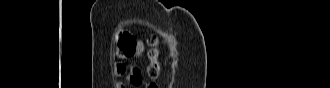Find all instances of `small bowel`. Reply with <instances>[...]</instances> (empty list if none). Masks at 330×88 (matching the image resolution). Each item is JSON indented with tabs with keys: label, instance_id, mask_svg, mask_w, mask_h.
Returning <instances> with one entry per match:
<instances>
[{
	"label": "small bowel",
	"instance_id": "c3829d8e",
	"mask_svg": "<svg viewBox=\"0 0 330 88\" xmlns=\"http://www.w3.org/2000/svg\"><path fill=\"white\" fill-rule=\"evenodd\" d=\"M135 52L136 55H139L143 52V46L139 40H135ZM113 73L116 76H121L126 79V81L133 86H138L142 82V73L137 67L129 68L124 63L115 64L113 68Z\"/></svg>",
	"mask_w": 330,
	"mask_h": 88
}]
</instances>
